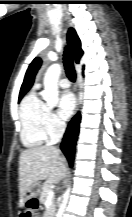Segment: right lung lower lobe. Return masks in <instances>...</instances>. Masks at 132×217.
<instances>
[{
    "mask_svg": "<svg viewBox=\"0 0 132 217\" xmlns=\"http://www.w3.org/2000/svg\"><path fill=\"white\" fill-rule=\"evenodd\" d=\"M79 122H80V114H77L69 123L63 141L61 143V150L67 157L70 166H72L73 164L75 145H76L77 135L79 132Z\"/></svg>",
    "mask_w": 132,
    "mask_h": 217,
    "instance_id": "98d812e1",
    "label": "right lung lower lobe"
}]
</instances>
